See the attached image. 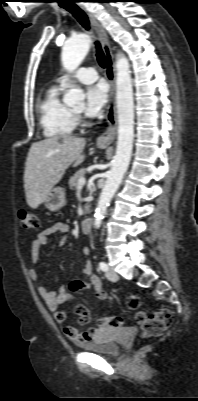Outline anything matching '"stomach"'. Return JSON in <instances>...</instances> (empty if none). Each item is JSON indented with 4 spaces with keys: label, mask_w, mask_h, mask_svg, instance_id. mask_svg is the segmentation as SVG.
I'll list each match as a JSON object with an SVG mask.
<instances>
[{
    "label": "stomach",
    "mask_w": 198,
    "mask_h": 401,
    "mask_svg": "<svg viewBox=\"0 0 198 401\" xmlns=\"http://www.w3.org/2000/svg\"><path fill=\"white\" fill-rule=\"evenodd\" d=\"M104 148L105 145H98ZM66 204L65 190L61 187L53 188L47 198L44 200L45 207L50 211H58Z\"/></svg>",
    "instance_id": "stomach-1"
}]
</instances>
